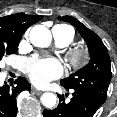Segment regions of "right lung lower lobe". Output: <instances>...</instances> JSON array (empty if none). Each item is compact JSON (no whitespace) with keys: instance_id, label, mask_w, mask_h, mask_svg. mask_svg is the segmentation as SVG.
I'll return each instance as SVG.
<instances>
[{"instance_id":"98d812e1","label":"right lung lower lobe","mask_w":117,"mask_h":117,"mask_svg":"<svg viewBox=\"0 0 117 117\" xmlns=\"http://www.w3.org/2000/svg\"><path fill=\"white\" fill-rule=\"evenodd\" d=\"M15 86H8L6 83L0 87V117H15L17 114L16 96L21 91L30 90L31 85L23 78L19 77L14 82Z\"/></svg>"}]
</instances>
